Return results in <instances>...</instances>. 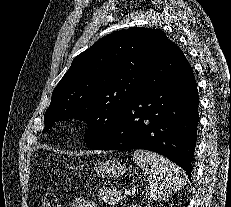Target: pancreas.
I'll return each instance as SVG.
<instances>
[{"mask_svg":"<svg viewBox=\"0 0 231 207\" xmlns=\"http://www.w3.org/2000/svg\"><path fill=\"white\" fill-rule=\"evenodd\" d=\"M99 196L102 198V200L109 204V205H115L123 198V193L120 190L113 189V190H107V189H100Z\"/></svg>","mask_w":231,"mask_h":207,"instance_id":"obj_1","label":"pancreas"}]
</instances>
